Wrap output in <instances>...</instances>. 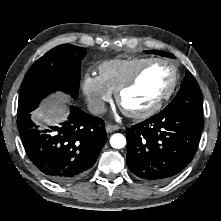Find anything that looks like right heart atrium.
I'll list each match as a JSON object with an SVG mask.
<instances>
[{
	"instance_id": "obj_1",
	"label": "right heart atrium",
	"mask_w": 221,
	"mask_h": 221,
	"mask_svg": "<svg viewBox=\"0 0 221 221\" xmlns=\"http://www.w3.org/2000/svg\"><path fill=\"white\" fill-rule=\"evenodd\" d=\"M82 91L89 108L95 113H102L112 99V92L99 76L85 75L82 80Z\"/></svg>"
}]
</instances>
